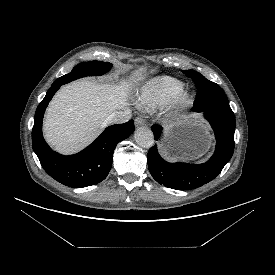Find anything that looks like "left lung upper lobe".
<instances>
[{
    "instance_id": "obj_1",
    "label": "left lung upper lobe",
    "mask_w": 275,
    "mask_h": 275,
    "mask_svg": "<svg viewBox=\"0 0 275 275\" xmlns=\"http://www.w3.org/2000/svg\"><path fill=\"white\" fill-rule=\"evenodd\" d=\"M183 73L189 75L193 79L198 89L194 103L217 107H229L228 99L218 84L207 80L203 75L194 70L183 71Z\"/></svg>"
}]
</instances>
